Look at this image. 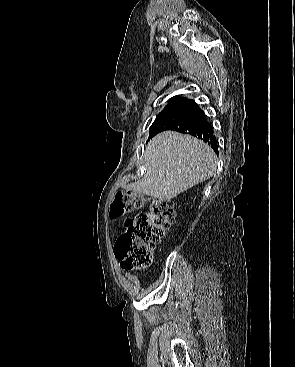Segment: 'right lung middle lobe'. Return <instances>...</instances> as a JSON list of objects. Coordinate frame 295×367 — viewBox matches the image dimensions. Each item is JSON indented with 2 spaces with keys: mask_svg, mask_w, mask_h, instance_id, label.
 Segmentation results:
<instances>
[{
  "mask_svg": "<svg viewBox=\"0 0 295 367\" xmlns=\"http://www.w3.org/2000/svg\"><path fill=\"white\" fill-rule=\"evenodd\" d=\"M186 100L187 98L183 97L171 98L168 101V105L157 115L155 121L151 125L149 137H151L160 124L165 121L173 112H175Z\"/></svg>",
  "mask_w": 295,
  "mask_h": 367,
  "instance_id": "dd1d6c3e",
  "label": "right lung middle lobe"
}]
</instances>
